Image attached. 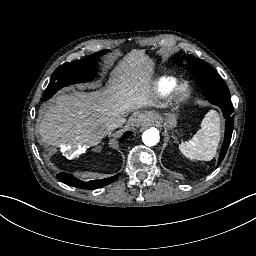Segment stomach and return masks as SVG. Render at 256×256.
<instances>
[{
  "mask_svg": "<svg viewBox=\"0 0 256 256\" xmlns=\"http://www.w3.org/2000/svg\"><path fill=\"white\" fill-rule=\"evenodd\" d=\"M154 114H156L157 117H154L153 119L150 118L152 123L158 122V124L162 125L166 130H171L177 126V115L172 109L162 114Z\"/></svg>",
  "mask_w": 256,
  "mask_h": 256,
  "instance_id": "0dacf381",
  "label": "stomach"
}]
</instances>
